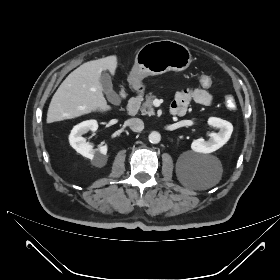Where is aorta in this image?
<instances>
[{
	"label": "aorta",
	"mask_w": 280,
	"mask_h": 280,
	"mask_svg": "<svg viewBox=\"0 0 280 280\" xmlns=\"http://www.w3.org/2000/svg\"><path fill=\"white\" fill-rule=\"evenodd\" d=\"M148 139H149V142L152 143V144H157L160 142L161 140V135L159 132L157 131H153L149 134L148 136Z\"/></svg>",
	"instance_id": "obj_1"
}]
</instances>
